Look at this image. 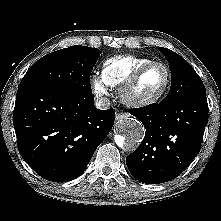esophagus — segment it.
<instances>
[{
	"mask_svg": "<svg viewBox=\"0 0 221 221\" xmlns=\"http://www.w3.org/2000/svg\"><path fill=\"white\" fill-rule=\"evenodd\" d=\"M126 117H128V113L123 112V111L117 112L116 115H115L116 120H120V119H123V118H126Z\"/></svg>",
	"mask_w": 221,
	"mask_h": 221,
	"instance_id": "1",
	"label": "esophagus"
}]
</instances>
